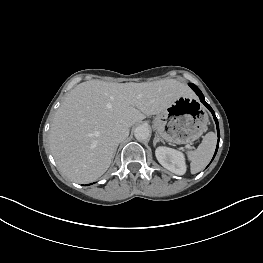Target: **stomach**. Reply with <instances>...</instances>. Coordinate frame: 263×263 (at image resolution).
Listing matches in <instances>:
<instances>
[{"label":"stomach","instance_id":"obj_1","mask_svg":"<svg viewBox=\"0 0 263 263\" xmlns=\"http://www.w3.org/2000/svg\"><path fill=\"white\" fill-rule=\"evenodd\" d=\"M208 115L191 95L181 96L154 118L160 136L178 144L198 139L206 130Z\"/></svg>","mask_w":263,"mask_h":263}]
</instances>
